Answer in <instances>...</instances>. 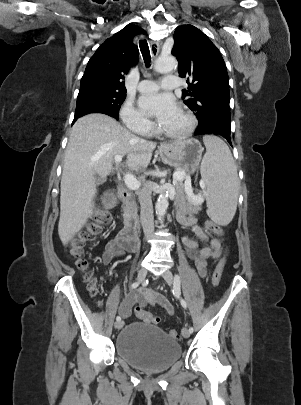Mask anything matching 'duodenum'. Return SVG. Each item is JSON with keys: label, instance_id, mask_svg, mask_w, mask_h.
Segmentation results:
<instances>
[{"label": "duodenum", "instance_id": "1", "mask_svg": "<svg viewBox=\"0 0 301 405\" xmlns=\"http://www.w3.org/2000/svg\"><path fill=\"white\" fill-rule=\"evenodd\" d=\"M121 201L125 205V225L120 232L121 244L127 251L135 252L139 249L137 238L139 224L135 216L136 204L132 192L124 186L120 187L118 192L107 190L100 201V206L110 213L114 208H120Z\"/></svg>", "mask_w": 301, "mask_h": 405}]
</instances>
